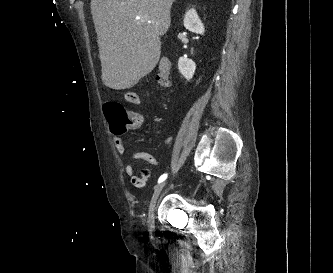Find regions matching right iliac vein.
Wrapping results in <instances>:
<instances>
[{
    "label": "right iliac vein",
    "instance_id": "63e3f726",
    "mask_svg": "<svg viewBox=\"0 0 333 273\" xmlns=\"http://www.w3.org/2000/svg\"><path fill=\"white\" fill-rule=\"evenodd\" d=\"M165 185H166V182H162L158 186H156L154 193L151 197L150 203H149L147 225H148V229L150 232L154 231V229H155L154 210H155L156 202L159 198V195L162 192V190L164 189Z\"/></svg>",
    "mask_w": 333,
    "mask_h": 273
}]
</instances>
